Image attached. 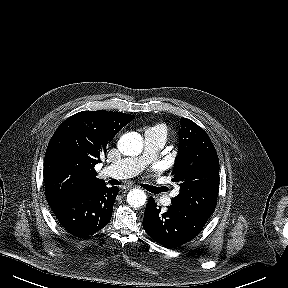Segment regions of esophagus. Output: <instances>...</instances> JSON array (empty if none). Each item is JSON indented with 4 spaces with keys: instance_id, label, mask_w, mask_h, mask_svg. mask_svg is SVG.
I'll list each match as a JSON object with an SVG mask.
<instances>
[{
    "instance_id": "34e87169",
    "label": "esophagus",
    "mask_w": 288,
    "mask_h": 288,
    "mask_svg": "<svg viewBox=\"0 0 288 288\" xmlns=\"http://www.w3.org/2000/svg\"><path fill=\"white\" fill-rule=\"evenodd\" d=\"M132 188H134V186H132V185H128V186H125V187H124V189H128V190H129V189H132Z\"/></svg>"
}]
</instances>
